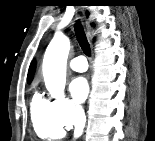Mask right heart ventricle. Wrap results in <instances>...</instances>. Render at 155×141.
Masks as SVG:
<instances>
[{
    "label": "right heart ventricle",
    "mask_w": 155,
    "mask_h": 141,
    "mask_svg": "<svg viewBox=\"0 0 155 141\" xmlns=\"http://www.w3.org/2000/svg\"><path fill=\"white\" fill-rule=\"evenodd\" d=\"M30 112L34 130L40 138H60L64 135V127L56 118L53 101L35 92L31 98Z\"/></svg>",
    "instance_id": "1"
}]
</instances>
